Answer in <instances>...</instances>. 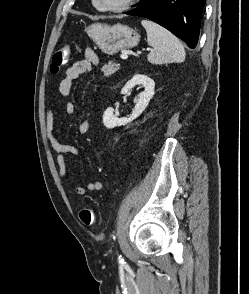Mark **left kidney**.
Returning a JSON list of instances; mask_svg holds the SVG:
<instances>
[{
    "instance_id": "5707ae66",
    "label": "left kidney",
    "mask_w": 249,
    "mask_h": 294,
    "mask_svg": "<svg viewBox=\"0 0 249 294\" xmlns=\"http://www.w3.org/2000/svg\"><path fill=\"white\" fill-rule=\"evenodd\" d=\"M135 85L143 87L144 91L140 93L139 99L137 100L130 117L118 118L114 114V109L112 107H108L103 114V124L106 128L112 129L117 126L126 125L138 118L146 109L154 95L155 83L150 77L146 75L136 74L125 84L121 90V93L127 94Z\"/></svg>"
}]
</instances>
